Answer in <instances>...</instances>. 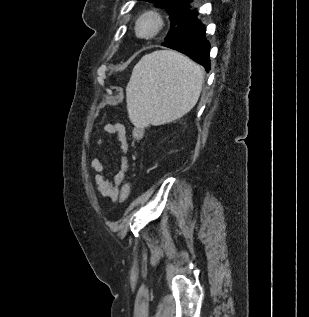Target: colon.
I'll list each match as a JSON object with an SVG mask.
<instances>
[{
  "instance_id": "1",
  "label": "colon",
  "mask_w": 309,
  "mask_h": 317,
  "mask_svg": "<svg viewBox=\"0 0 309 317\" xmlns=\"http://www.w3.org/2000/svg\"><path fill=\"white\" fill-rule=\"evenodd\" d=\"M143 136V130L140 129V128H136L133 130V137L134 139L136 140H139L141 139ZM130 191H131V188H130V184L128 182H125L121 188V200L123 202L127 201L129 196H130Z\"/></svg>"
}]
</instances>
